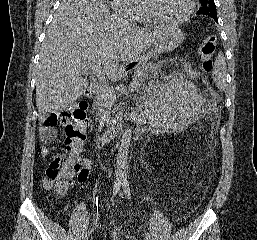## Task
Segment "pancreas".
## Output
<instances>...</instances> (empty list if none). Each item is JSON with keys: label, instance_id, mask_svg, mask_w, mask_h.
Returning <instances> with one entry per match:
<instances>
[{"label": "pancreas", "instance_id": "pancreas-1", "mask_svg": "<svg viewBox=\"0 0 257 240\" xmlns=\"http://www.w3.org/2000/svg\"><path fill=\"white\" fill-rule=\"evenodd\" d=\"M155 65L153 62H144L135 72L132 85L134 88L139 87L148 78L149 73L154 71ZM115 95L107 88H102L95 93L94 109L101 117L102 113L109 109L115 101Z\"/></svg>", "mask_w": 257, "mask_h": 240}]
</instances>
